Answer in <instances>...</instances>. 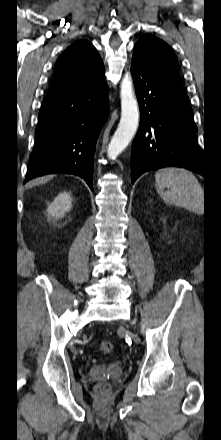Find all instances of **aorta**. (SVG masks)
<instances>
[{"mask_svg": "<svg viewBox=\"0 0 221 440\" xmlns=\"http://www.w3.org/2000/svg\"><path fill=\"white\" fill-rule=\"evenodd\" d=\"M121 119L108 146V157L115 159L128 146L139 124V108L133 92V80L127 73L120 86Z\"/></svg>", "mask_w": 221, "mask_h": 440, "instance_id": "1", "label": "aorta"}]
</instances>
